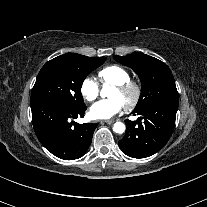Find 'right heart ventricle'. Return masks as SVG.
Here are the masks:
<instances>
[{
    "label": "right heart ventricle",
    "instance_id": "1",
    "mask_svg": "<svg viewBox=\"0 0 207 207\" xmlns=\"http://www.w3.org/2000/svg\"><path fill=\"white\" fill-rule=\"evenodd\" d=\"M98 78L102 83L118 85L129 80L130 75L125 68L119 65H109L98 71Z\"/></svg>",
    "mask_w": 207,
    "mask_h": 207
}]
</instances>
